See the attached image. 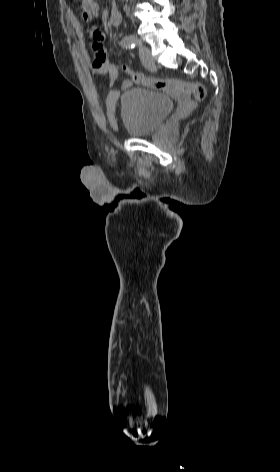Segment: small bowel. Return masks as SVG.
I'll return each mask as SVG.
<instances>
[{
	"label": "small bowel",
	"instance_id": "small-bowel-1",
	"mask_svg": "<svg viewBox=\"0 0 280 472\" xmlns=\"http://www.w3.org/2000/svg\"><path fill=\"white\" fill-rule=\"evenodd\" d=\"M89 34L92 39L91 46L93 51V60L91 63L92 73L94 75H108L110 84L113 86L118 78L119 72L117 67L111 63L107 57V53L104 48L105 35L103 31L97 26L91 27ZM129 84L130 81L126 80L123 83L122 89H126ZM119 94L120 92L114 88L109 90L107 98V110L110 116L116 109Z\"/></svg>",
	"mask_w": 280,
	"mask_h": 472
}]
</instances>
